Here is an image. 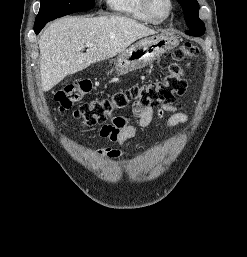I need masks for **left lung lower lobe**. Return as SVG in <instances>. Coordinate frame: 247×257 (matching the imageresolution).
<instances>
[{
  "label": "left lung lower lobe",
  "instance_id": "1",
  "mask_svg": "<svg viewBox=\"0 0 247 257\" xmlns=\"http://www.w3.org/2000/svg\"><path fill=\"white\" fill-rule=\"evenodd\" d=\"M188 35H191V36H198V35H194V34H188Z\"/></svg>",
  "mask_w": 247,
  "mask_h": 257
}]
</instances>
